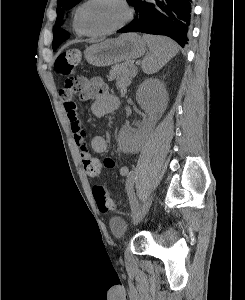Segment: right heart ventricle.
Returning <instances> with one entry per match:
<instances>
[{
  "label": "right heart ventricle",
  "instance_id": "1",
  "mask_svg": "<svg viewBox=\"0 0 245 300\" xmlns=\"http://www.w3.org/2000/svg\"><path fill=\"white\" fill-rule=\"evenodd\" d=\"M73 28L77 33H82V31L80 30V28L78 27L77 23H76V12L73 18Z\"/></svg>",
  "mask_w": 245,
  "mask_h": 300
}]
</instances>
